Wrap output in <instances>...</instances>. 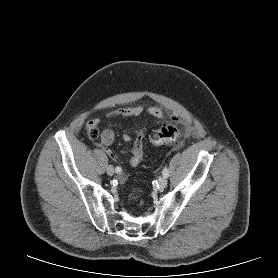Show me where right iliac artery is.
<instances>
[{
    "label": "right iliac artery",
    "instance_id": "obj_1",
    "mask_svg": "<svg viewBox=\"0 0 278 278\" xmlns=\"http://www.w3.org/2000/svg\"><path fill=\"white\" fill-rule=\"evenodd\" d=\"M115 171H116V173H120L121 172V168L120 167H116Z\"/></svg>",
    "mask_w": 278,
    "mask_h": 278
}]
</instances>
